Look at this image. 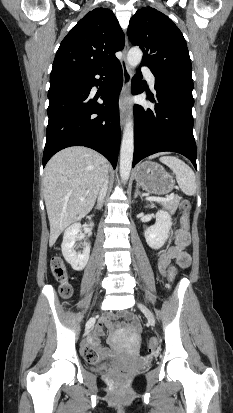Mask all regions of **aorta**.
Listing matches in <instances>:
<instances>
[{"mask_svg":"<svg viewBox=\"0 0 233 413\" xmlns=\"http://www.w3.org/2000/svg\"><path fill=\"white\" fill-rule=\"evenodd\" d=\"M143 53L140 48L133 47L127 54V63L130 68H135L142 60ZM134 152V122L131 116L128 117L120 148V176L123 181L129 179Z\"/></svg>","mask_w":233,"mask_h":413,"instance_id":"1","label":"aorta"}]
</instances>
